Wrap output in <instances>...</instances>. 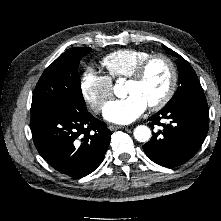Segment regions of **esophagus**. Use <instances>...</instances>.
<instances>
[{"instance_id":"1","label":"esophagus","mask_w":221,"mask_h":221,"mask_svg":"<svg viewBox=\"0 0 221 221\" xmlns=\"http://www.w3.org/2000/svg\"><path fill=\"white\" fill-rule=\"evenodd\" d=\"M124 128H126V127H124V126H119V125H110V126H109V129H110L111 131L118 130V129H124Z\"/></svg>"}]
</instances>
